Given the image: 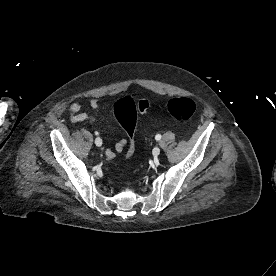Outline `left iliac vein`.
I'll return each mask as SVG.
<instances>
[{"mask_svg": "<svg viewBox=\"0 0 276 276\" xmlns=\"http://www.w3.org/2000/svg\"><path fill=\"white\" fill-rule=\"evenodd\" d=\"M153 155L155 157H157L160 154V148L159 147H155L152 151Z\"/></svg>", "mask_w": 276, "mask_h": 276, "instance_id": "4c4485c4", "label": "left iliac vein"}]
</instances>
